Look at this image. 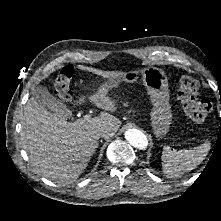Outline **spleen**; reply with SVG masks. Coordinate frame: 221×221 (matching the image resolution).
I'll list each match as a JSON object with an SVG mask.
<instances>
[{
  "instance_id": "spleen-1",
  "label": "spleen",
  "mask_w": 221,
  "mask_h": 221,
  "mask_svg": "<svg viewBox=\"0 0 221 221\" xmlns=\"http://www.w3.org/2000/svg\"><path fill=\"white\" fill-rule=\"evenodd\" d=\"M211 145L205 141L193 149H181L172 151L169 146L162 152V169L170 177H178L180 174L195 169L208 155Z\"/></svg>"
}]
</instances>
